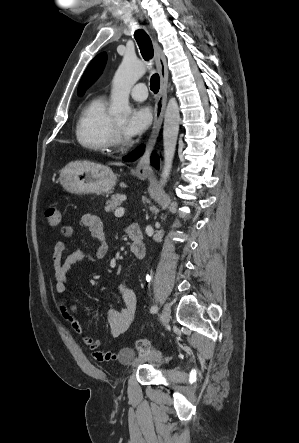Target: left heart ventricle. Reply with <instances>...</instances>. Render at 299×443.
<instances>
[{
    "mask_svg": "<svg viewBox=\"0 0 299 443\" xmlns=\"http://www.w3.org/2000/svg\"><path fill=\"white\" fill-rule=\"evenodd\" d=\"M124 122H125L124 119H118V120L115 121V123H116L120 128H122Z\"/></svg>",
    "mask_w": 299,
    "mask_h": 443,
    "instance_id": "obj_1",
    "label": "left heart ventricle"
}]
</instances>
